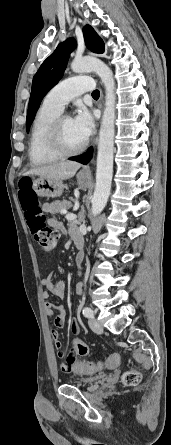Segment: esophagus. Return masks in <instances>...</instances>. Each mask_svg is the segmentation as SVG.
Here are the masks:
<instances>
[{
  "instance_id": "obj_1",
  "label": "esophagus",
  "mask_w": 171,
  "mask_h": 445,
  "mask_svg": "<svg viewBox=\"0 0 171 445\" xmlns=\"http://www.w3.org/2000/svg\"><path fill=\"white\" fill-rule=\"evenodd\" d=\"M90 165H86L81 169V173L89 174L90 173Z\"/></svg>"
}]
</instances>
